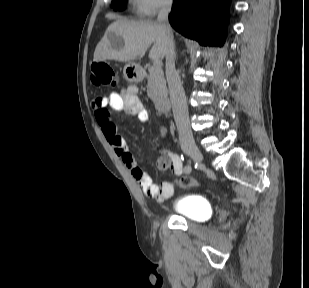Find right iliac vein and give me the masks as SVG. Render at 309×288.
Segmentation results:
<instances>
[{
    "mask_svg": "<svg viewBox=\"0 0 309 288\" xmlns=\"http://www.w3.org/2000/svg\"><path fill=\"white\" fill-rule=\"evenodd\" d=\"M184 152L189 155L194 161L200 160L203 161V155L198 147L195 145L186 146L183 148Z\"/></svg>",
    "mask_w": 309,
    "mask_h": 288,
    "instance_id": "1",
    "label": "right iliac vein"
}]
</instances>
